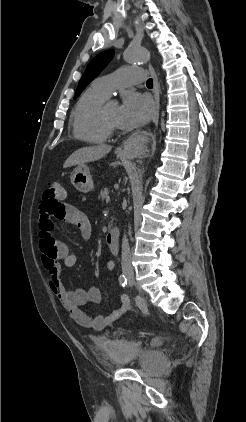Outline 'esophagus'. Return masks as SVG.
Masks as SVG:
<instances>
[{
    "label": "esophagus",
    "mask_w": 246,
    "mask_h": 422,
    "mask_svg": "<svg viewBox=\"0 0 246 422\" xmlns=\"http://www.w3.org/2000/svg\"><path fill=\"white\" fill-rule=\"evenodd\" d=\"M149 71L153 77L154 87V101H155V113L153 116V123L157 126L159 120V109H160V98H159V84L157 74L149 64ZM156 146L154 135H133L131 136L124 146V151L128 155H146L150 149L154 151Z\"/></svg>",
    "instance_id": "34e87169"
}]
</instances>
